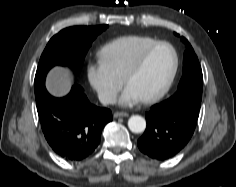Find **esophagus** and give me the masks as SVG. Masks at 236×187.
<instances>
[{
	"instance_id": "1",
	"label": "esophagus",
	"mask_w": 236,
	"mask_h": 187,
	"mask_svg": "<svg viewBox=\"0 0 236 187\" xmlns=\"http://www.w3.org/2000/svg\"><path fill=\"white\" fill-rule=\"evenodd\" d=\"M129 114L126 112H115L114 113V117L118 118V117H127Z\"/></svg>"
}]
</instances>
